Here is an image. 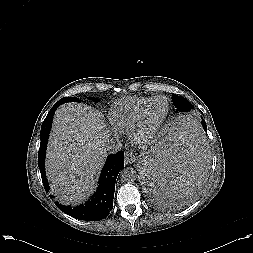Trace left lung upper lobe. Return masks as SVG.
Listing matches in <instances>:
<instances>
[{"label":"left lung upper lobe","mask_w":253,"mask_h":253,"mask_svg":"<svg viewBox=\"0 0 253 253\" xmlns=\"http://www.w3.org/2000/svg\"><path fill=\"white\" fill-rule=\"evenodd\" d=\"M172 101L179 112L189 111L193 108L192 104L183 97L174 95Z\"/></svg>","instance_id":"5c2ea615"}]
</instances>
